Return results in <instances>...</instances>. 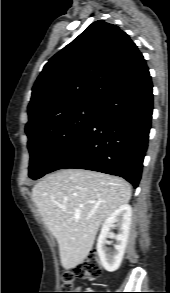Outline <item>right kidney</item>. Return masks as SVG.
Returning <instances> with one entry per match:
<instances>
[{
  "mask_svg": "<svg viewBox=\"0 0 170 293\" xmlns=\"http://www.w3.org/2000/svg\"><path fill=\"white\" fill-rule=\"evenodd\" d=\"M132 209L129 204H124L112 212L104 221L97 240V252L100 262L105 270L116 271L123 260L131 224ZM118 228L115 236L114 250L106 247L107 237L112 227Z\"/></svg>",
  "mask_w": 170,
  "mask_h": 293,
  "instance_id": "right-kidney-1",
  "label": "right kidney"
}]
</instances>
